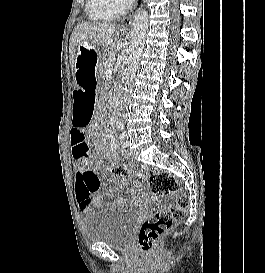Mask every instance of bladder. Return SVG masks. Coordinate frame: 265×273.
<instances>
[{"label":"bladder","mask_w":265,"mask_h":273,"mask_svg":"<svg viewBox=\"0 0 265 273\" xmlns=\"http://www.w3.org/2000/svg\"><path fill=\"white\" fill-rule=\"evenodd\" d=\"M137 220V210L126 204L94 207L85 213L84 235L89 241L124 248L135 231Z\"/></svg>","instance_id":"bladder-1"}]
</instances>
